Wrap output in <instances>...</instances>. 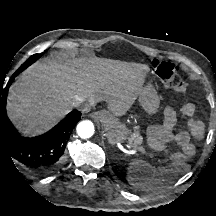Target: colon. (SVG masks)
I'll return each instance as SVG.
<instances>
[{
  "mask_svg": "<svg viewBox=\"0 0 216 216\" xmlns=\"http://www.w3.org/2000/svg\"><path fill=\"white\" fill-rule=\"evenodd\" d=\"M152 70L178 95H184L187 92L186 74L178 65L155 59L152 62Z\"/></svg>",
  "mask_w": 216,
  "mask_h": 216,
  "instance_id": "colon-1",
  "label": "colon"
}]
</instances>
